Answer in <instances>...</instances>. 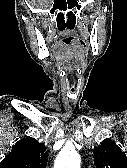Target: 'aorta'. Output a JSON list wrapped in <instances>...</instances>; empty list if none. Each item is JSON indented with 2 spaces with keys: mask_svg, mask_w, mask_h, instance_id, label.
Instances as JSON below:
<instances>
[{
  "mask_svg": "<svg viewBox=\"0 0 127 168\" xmlns=\"http://www.w3.org/2000/svg\"><path fill=\"white\" fill-rule=\"evenodd\" d=\"M54 168H80V157L73 146H67L60 152Z\"/></svg>",
  "mask_w": 127,
  "mask_h": 168,
  "instance_id": "obj_1",
  "label": "aorta"
}]
</instances>
